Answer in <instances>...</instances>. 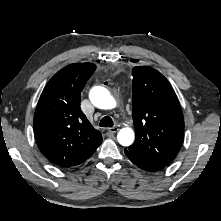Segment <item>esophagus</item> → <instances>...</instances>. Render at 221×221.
I'll return each mask as SVG.
<instances>
[{
	"label": "esophagus",
	"instance_id": "esophagus-1",
	"mask_svg": "<svg viewBox=\"0 0 221 221\" xmlns=\"http://www.w3.org/2000/svg\"><path fill=\"white\" fill-rule=\"evenodd\" d=\"M106 130L110 133H115L119 130V128L117 126H115V127L107 128Z\"/></svg>",
	"mask_w": 221,
	"mask_h": 221
}]
</instances>
